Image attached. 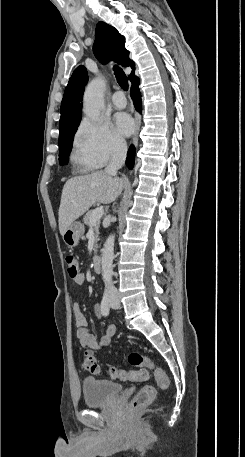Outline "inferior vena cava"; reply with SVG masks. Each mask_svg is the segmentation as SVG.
<instances>
[{
  "mask_svg": "<svg viewBox=\"0 0 245 457\" xmlns=\"http://www.w3.org/2000/svg\"><path fill=\"white\" fill-rule=\"evenodd\" d=\"M126 154L127 144L125 140H123V138H116L114 142V150L112 152L111 162L107 164L105 172H108V174H113V176H115V174H117L118 168H121V166H123ZM110 291H113V293H115L117 289H115V287L111 285Z\"/></svg>",
  "mask_w": 245,
  "mask_h": 457,
  "instance_id": "602c4592",
  "label": "inferior vena cava"
}]
</instances>
